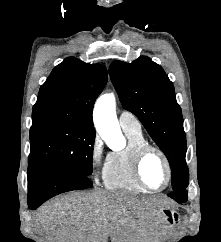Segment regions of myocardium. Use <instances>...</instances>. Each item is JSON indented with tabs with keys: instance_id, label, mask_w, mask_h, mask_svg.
I'll list each match as a JSON object with an SVG mask.
<instances>
[{
	"instance_id": "f54148a6",
	"label": "myocardium",
	"mask_w": 221,
	"mask_h": 242,
	"mask_svg": "<svg viewBox=\"0 0 221 242\" xmlns=\"http://www.w3.org/2000/svg\"><path fill=\"white\" fill-rule=\"evenodd\" d=\"M151 152L157 153L162 158L166 167L167 179H166V183L161 188H153L149 186L147 182L144 180L142 175V164L145 158L147 157V155L150 154ZM132 170H133L134 177L138 181V183L149 191H153V192L163 191L170 185L172 181L173 170L168 156L161 148L149 143L143 144L134 150L133 156H132Z\"/></svg>"
}]
</instances>
